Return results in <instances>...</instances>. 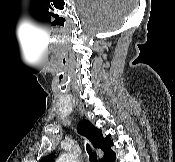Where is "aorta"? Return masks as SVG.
I'll list each match as a JSON object with an SVG mask.
<instances>
[{"label": "aorta", "instance_id": "1", "mask_svg": "<svg viewBox=\"0 0 175 162\" xmlns=\"http://www.w3.org/2000/svg\"><path fill=\"white\" fill-rule=\"evenodd\" d=\"M56 162H77L76 157L69 153L62 154Z\"/></svg>", "mask_w": 175, "mask_h": 162}]
</instances>
